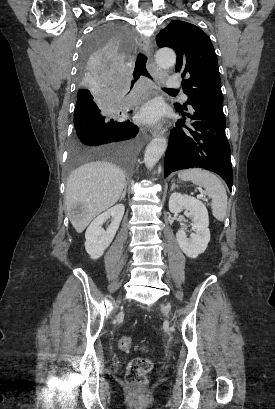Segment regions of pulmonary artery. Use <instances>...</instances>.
I'll list each match as a JSON object with an SVG mask.
<instances>
[{
  "mask_svg": "<svg viewBox=\"0 0 275 409\" xmlns=\"http://www.w3.org/2000/svg\"><path fill=\"white\" fill-rule=\"evenodd\" d=\"M180 74L173 73L170 79L166 80V87L167 88H179L180 87ZM184 98L187 99V95H184Z\"/></svg>",
  "mask_w": 275,
  "mask_h": 409,
  "instance_id": "pulmonary-artery-1",
  "label": "pulmonary artery"
}]
</instances>
